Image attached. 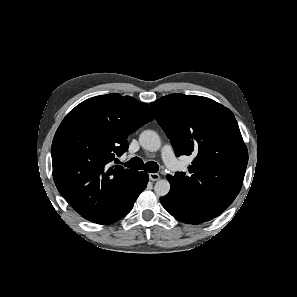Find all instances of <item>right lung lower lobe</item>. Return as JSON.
Returning a JSON list of instances; mask_svg holds the SVG:
<instances>
[{"instance_id": "1", "label": "right lung lower lobe", "mask_w": 297, "mask_h": 297, "mask_svg": "<svg viewBox=\"0 0 297 297\" xmlns=\"http://www.w3.org/2000/svg\"><path fill=\"white\" fill-rule=\"evenodd\" d=\"M148 174L146 172H135L129 183L104 210V212L91 222L97 224H111L126 216L133 208L134 202L139 194L146 188Z\"/></svg>"}]
</instances>
